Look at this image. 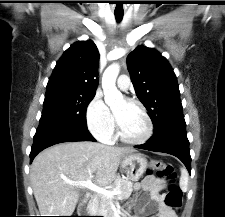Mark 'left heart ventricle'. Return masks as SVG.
Wrapping results in <instances>:
<instances>
[{
    "label": "left heart ventricle",
    "mask_w": 225,
    "mask_h": 217,
    "mask_svg": "<svg viewBox=\"0 0 225 217\" xmlns=\"http://www.w3.org/2000/svg\"><path fill=\"white\" fill-rule=\"evenodd\" d=\"M122 133L132 139L143 136L146 130V122L141 111L125 99L119 100L113 107Z\"/></svg>",
    "instance_id": "left-heart-ventricle-1"
}]
</instances>
